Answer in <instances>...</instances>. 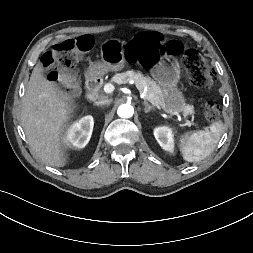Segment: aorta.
Segmentation results:
<instances>
[{
	"mask_svg": "<svg viewBox=\"0 0 253 253\" xmlns=\"http://www.w3.org/2000/svg\"><path fill=\"white\" fill-rule=\"evenodd\" d=\"M117 114L121 118H130L134 114V108L130 104H122L119 106Z\"/></svg>",
	"mask_w": 253,
	"mask_h": 253,
	"instance_id": "aorta-1",
	"label": "aorta"
}]
</instances>
